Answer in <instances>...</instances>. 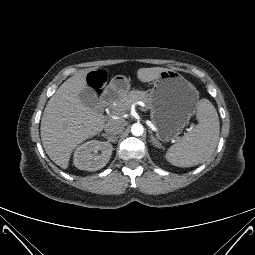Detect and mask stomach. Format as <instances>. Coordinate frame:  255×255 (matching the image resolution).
<instances>
[{"label": "stomach", "mask_w": 255, "mask_h": 255, "mask_svg": "<svg viewBox=\"0 0 255 255\" xmlns=\"http://www.w3.org/2000/svg\"><path fill=\"white\" fill-rule=\"evenodd\" d=\"M129 88L128 79L117 75L105 90L122 97ZM147 94L158 140L167 142L177 138L197 109L199 92L195 86L179 72L168 69L159 74Z\"/></svg>", "instance_id": "1"}]
</instances>
